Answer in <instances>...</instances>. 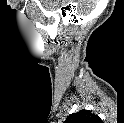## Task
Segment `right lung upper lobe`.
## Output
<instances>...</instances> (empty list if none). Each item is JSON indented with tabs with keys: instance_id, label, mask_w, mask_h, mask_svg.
<instances>
[{
	"instance_id": "1",
	"label": "right lung upper lobe",
	"mask_w": 124,
	"mask_h": 123,
	"mask_svg": "<svg viewBox=\"0 0 124 123\" xmlns=\"http://www.w3.org/2000/svg\"><path fill=\"white\" fill-rule=\"evenodd\" d=\"M101 119L89 110H80L78 113L70 114L64 123H96Z\"/></svg>"
}]
</instances>
